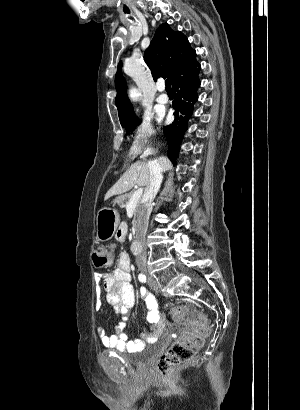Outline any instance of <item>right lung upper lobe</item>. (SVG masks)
I'll return each instance as SVG.
<instances>
[{
  "label": "right lung upper lobe",
  "instance_id": "cb5924a9",
  "mask_svg": "<svg viewBox=\"0 0 300 410\" xmlns=\"http://www.w3.org/2000/svg\"><path fill=\"white\" fill-rule=\"evenodd\" d=\"M144 59L154 79L164 76L172 82L196 60L193 50L184 34L174 32L168 24H162L144 53ZM117 90L116 106L120 123L135 117L132 104L126 95V82L122 76L121 62L115 75Z\"/></svg>",
  "mask_w": 300,
  "mask_h": 410
}]
</instances>
